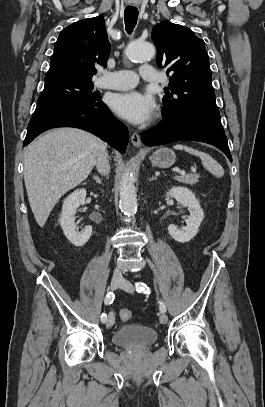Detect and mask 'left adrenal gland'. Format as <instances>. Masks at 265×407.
Listing matches in <instances>:
<instances>
[{
	"instance_id": "a2214340",
	"label": "left adrenal gland",
	"mask_w": 265,
	"mask_h": 407,
	"mask_svg": "<svg viewBox=\"0 0 265 407\" xmlns=\"http://www.w3.org/2000/svg\"><path fill=\"white\" fill-rule=\"evenodd\" d=\"M156 179H157L156 176H152V178H150L149 181L151 182V181L156 180Z\"/></svg>"
}]
</instances>
